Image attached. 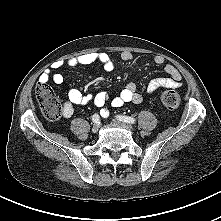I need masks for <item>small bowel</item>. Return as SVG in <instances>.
<instances>
[{"mask_svg": "<svg viewBox=\"0 0 221 221\" xmlns=\"http://www.w3.org/2000/svg\"><path fill=\"white\" fill-rule=\"evenodd\" d=\"M120 58L123 61H131L133 60V54L130 51H123L120 54ZM154 61L156 64L162 65L164 64L165 59L163 56L159 55L155 57ZM93 63H100L106 72H110L114 68V63L110 54L105 51H97L80 54L68 59L66 62L57 61L53 64V69L58 70L64 66L74 68ZM165 71L169 77L153 79L147 86V92L149 94L154 93L159 88L175 89L181 86L182 77L175 66L167 64L165 66ZM49 81L60 85L64 82V76L60 72L51 74L50 70L43 72L39 76L40 83H48ZM90 102L100 108L101 116L106 118L109 115L107 104H110L113 108H120L130 102L138 104L142 102V96L137 92L136 85L134 83H128L126 87L114 97H110L105 92L84 95L78 89L73 88L69 90L68 100L63 105V116L66 118L71 117L74 114L76 106H83Z\"/></svg>", "mask_w": 221, "mask_h": 221, "instance_id": "c3829d8e", "label": "small bowel"}]
</instances>
